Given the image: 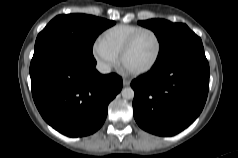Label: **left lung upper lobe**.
I'll list each match as a JSON object with an SVG mask.
<instances>
[{"instance_id": "5c2ea615", "label": "left lung upper lobe", "mask_w": 238, "mask_h": 158, "mask_svg": "<svg viewBox=\"0 0 238 158\" xmlns=\"http://www.w3.org/2000/svg\"><path fill=\"white\" fill-rule=\"evenodd\" d=\"M138 24L154 31L160 43L158 61H161L176 51L202 42L187 25L182 23H171L164 19H151L138 21Z\"/></svg>"}]
</instances>
